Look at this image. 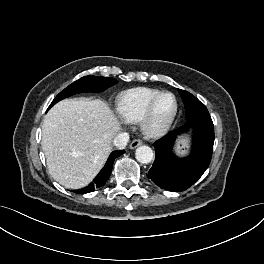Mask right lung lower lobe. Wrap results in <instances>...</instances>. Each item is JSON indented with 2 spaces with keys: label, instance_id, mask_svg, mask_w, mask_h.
<instances>
[{
  "label": "right lung lower lobe",
  "instance_id": "obj_1",
  "mask_svg": "<svg viewBox=\"0 0 264 264\" xmlns=\"http://www.w3.org/2000/svg\"><path fill=\"white\" fill-rule=\"evenodd\" d=\"M124 152H125L124 150L113 151L110 154L105 166L95 177L93 182H91L87 187L75 190V192L79 194H85V193L93 192L95 189L103 186L110 177L114 159L122 155Z\"/></svg>",
  "mask_w": 264,
  "mask_h": 264
}]
</instances>
